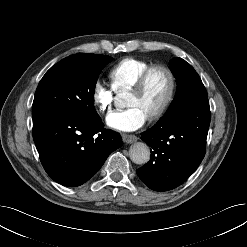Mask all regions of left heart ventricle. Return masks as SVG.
Here are the masks:
<instances>
[{"label":"left heart ventricle","instance_id":"1","mask_svg":"<svg viewBox=\"0 0 247 247\" xmlns=\"http://www.w3.org/2000/svg\"><path fill=\"white\" fill-rule=\"evenodd\" d=\"M168 87L169 80L166 73L157 70L150 76L142 93H130L127 105L129 107L138 106L150 116L164 101Z\"/></svg>","mask_w":247,"mask_h":247}]
</instances>
